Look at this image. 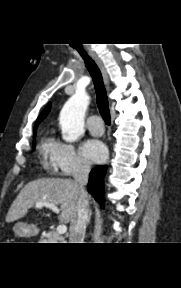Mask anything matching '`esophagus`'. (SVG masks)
<instances>
[{"mask_svg": "<svg viewBox=\"0 0 181 288\" xmlns=\"http://www.w3.org/2000/svg\"><path fill=\"white\" fill-rule=\"evenodd\" d=\"M90 54L93 57V59L95 60V62L97 63V65H98V67L102 73L104 83H105L107 89H109V78H108V74L106 72L105 67L103 66L101 60L98 58V56L94 52L90 51Z\"/></svg>", "mask_w": 181, "mask_h": 288, "instance_id": "1", "label": "esophagus"}]
</instances>
